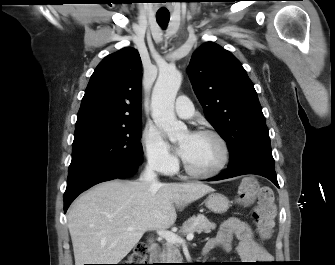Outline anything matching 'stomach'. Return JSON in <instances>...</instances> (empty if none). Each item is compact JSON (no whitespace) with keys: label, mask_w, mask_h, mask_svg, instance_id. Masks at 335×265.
I'll return each mask as SVG.
<instances>
[{"label":"stomach","mask_w":335,"mask_h":265,"mask_svg":"<svg viewBox=\"0 0 335 265\" xmlns=\"http://www.w3.org/2000/svg\"><path fill=\"white\" fill-rule=\"evenodd\" d=\"M206 207L217 214L225 213L230 207L229 199L221 193H210L205 201Z\"/></svg>","instance_id":"0dacf381"}]
</instances>
